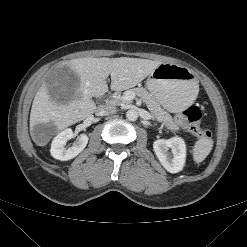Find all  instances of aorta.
I'll list each match as a JSON object with an SVG mask.
<instances>
[{"instance_id": "aorta-1", "label": "aorta", "mask_w": 247, "mask_h": 247, "mask_svg": "<svg viewBox=\"0 0 247 247\" xmlns=\"http://www.w3.org/2000/svg\"><path fill=\"white\" fill-rule=\"evenodd\" d=\"M138 112L137 110L135 109H130L126 112V118L129 120V121H136L137 118H138Z\"/></svg>"}]
</instances>
